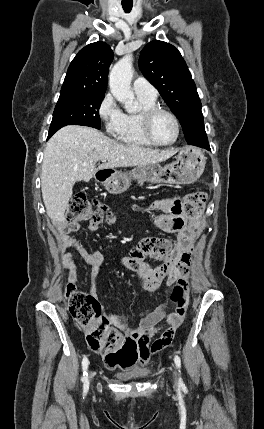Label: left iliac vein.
<instances>
[{
	"instance_id": "1",
	"label": "left iliac vein",
	"mask_w": 264,
	"mask_h": 429,
	"mask_svg": "<svg viewBox=\"0 0 264 429\" xmlns=\"http://www.w3.org/2000/svg\"><path fill=\"white\" fill-rule=\"evenodd\" d=\"M174 377H175V382L177 383L178 379H177V373L174 372Z\"/></svg>"
}]
</instances>
